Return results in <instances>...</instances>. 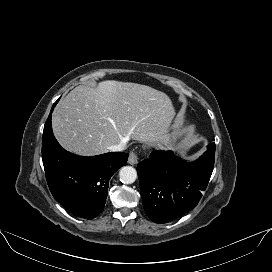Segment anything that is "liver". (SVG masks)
<instances>
[{"label":"liver","mask_w":272,"mask_h":272,"mask_svg":"<svg viewBox=\"0 0 272 272\" xmlns=\"http://www.w3.org/2000/svg\"><path fill=\"white\" fill-rule=\"evenodd\" d=\"M175 116L171 99L152 87L114 80L79 85L57 105L52 128L59 143L82 156L108 152L130 139L168 144Z\"/></svg>","instance_id":"liver-1"}]
</instances>
